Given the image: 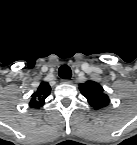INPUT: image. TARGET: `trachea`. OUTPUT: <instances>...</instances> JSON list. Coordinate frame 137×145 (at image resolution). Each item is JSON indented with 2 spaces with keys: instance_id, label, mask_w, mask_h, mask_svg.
Masks as SVG:
<instances>
[{
  "instance_id": "obj_1",
  "label": "trachea",
  "mask_w": 137,
  "mask_h": 145,
  "mask_svg": "<svg viewBox=\"0 0 137 145\" xmlns=\"http://www.w3.org/2000/svg\"><path fill=\"white\" fill-rule=\"evenodd\" d=\"M58 75L64 79H70L72 76L71 68L68 65H62L58 70Z\"/></svg>"
}]
</instances>
